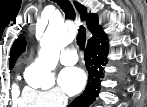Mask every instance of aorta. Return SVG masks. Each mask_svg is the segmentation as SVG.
<instances>
[{
    "mask_svg": "<svg viewBox=\"0 0 147 107\" xmlns=\"http://www.w3.org/2000/svg\"><path fill=\"white\" fill-rule=\"evenodd\" d=\"M71 42V36L63 21H51L40 40L39 57L29 67L33 74L34 85L49 89L54 85L52 71L56 68L60 50Z\"/></svg>",
    "mask_w": 147,
    "mask_h": 107,
    "instance_id": "aorta-1",
    "label": "aorta"
}]
</instances>
